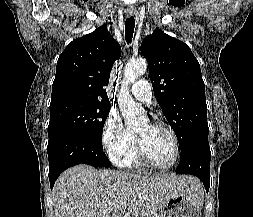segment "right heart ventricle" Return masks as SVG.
Instances as JSON below:
<instances>
[{"label": "right heart ventricle", "instance_id": "1", "mask_svg": "<svg viewBox=\"0 0 253 217\" xmlns=\"http://www.w3.org/2000/svg\"><path fill=\"white\" fill-rule=\"evenodd\" d=\"M119 165L123 167H142L143 163L138 159L136 149L134 145L129 149V151L119 160Z\"/></svg>", "mask_w": 253, "mask_h": 217}]
</instances>
